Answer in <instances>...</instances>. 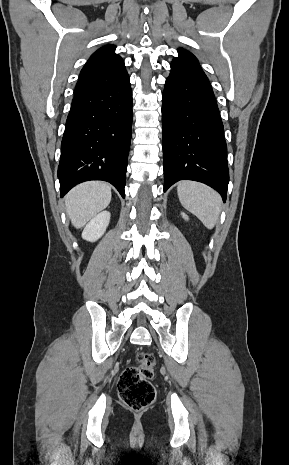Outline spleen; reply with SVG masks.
<instances>
[{
	"label": "spleen",
	"instance_id": "3e777b00",
	"mask_svg": "<svg viewBox=\"0 0 289 465\" xmlns=\"http://www.w3.org/2000/svg\"><path fill=\"white\" fill-rule=\"evenodd\" d=\"M177 193L182 206L213 229L221 212V197L209 186L195 181H180Z\"/></svg>",
	"mask_w": 289,
	"mask_h": 465
}]
</instances>
